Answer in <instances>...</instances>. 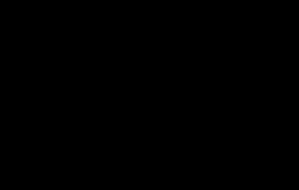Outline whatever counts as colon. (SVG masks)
Instances as JSON below:
<instances>
[{"mask_svg": "<svg viewBox=\"0 0 299 190\" xmlns=\"http://www.w3.org/2000/svg\"><path fill=\"white\" fill-rule=\"evenodd\" d=\"M130 7L124 6L117 10H108L89 20L84 21L77 29V36L82 41L93 40L94 38L107 33L110 29L116 26L124 18V14ZM194 35V31L190 32ZM104 82V75L101 72H96L91 78L93 87H98Z\"/></svg>", "mask_w": 299, "mask_h": 190, "instance_id": "colon-1", "label": "colon"}]
</instances>
